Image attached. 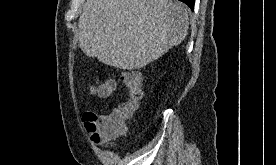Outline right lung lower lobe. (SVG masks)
<instances>
[{
	"mask_svg": "<svg viewBox=\"0 0 276 165\" xmlns=\"http://www.w3.org/2000/svg\"><path fill=\"white\" fill-rule=\"evenodd\" d=\"M182 2H184L185 4H187L192 10L194 8V0H180Z\"/></svg>",
	"mask_w": 276,
	"mask_h": 165,
	"instance_id": "right-lung-lower-lobe-1",
	"label": "right lung lower lobe"
}]
</instances>
